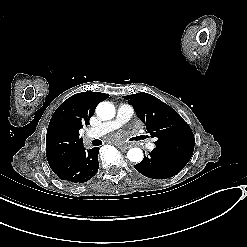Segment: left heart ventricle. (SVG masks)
Instances as JSON below:
<instances>
[{"label":"left heart ventricle","instance_id":"obj_1","mask_svg":"<svg viewBox=\"0 0 247 247\" xmlns=\"http://www.w3.org/2000/svg\"><path fill=\"white\" fill-rule=\"evenodd\" d=\"M126 129H130V127L129 126H127V127H125Z\"/></svg>","mask_w":247,"mask_h":247}]
</instances>
